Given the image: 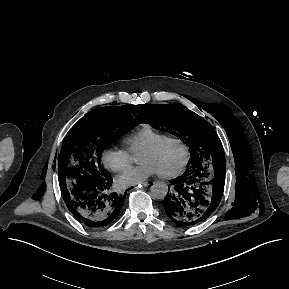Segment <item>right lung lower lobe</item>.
<instances>
[{
	"label": "right lung lower lobe",
	"instance_id": "right-lung-lower-lobe-1",
	"mask_svg": "<svg viewBox=\"0 0 289 289\" xmlns=\"http://www.w3.org/2000/svg\"><path fill=\"white\" fill-rule=\"evenodd\" d=\"M113 179L109 175L97 185L72 194H63L65 203L73 216L90 228H101L112 223L118 216L125 195L112 189Z\"/></svg>",
	"mask_w": 289,
	"mask_h": 289
}]
</instances>
